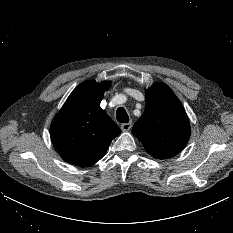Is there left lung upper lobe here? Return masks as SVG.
Listing matches in <instances>:
<instances>
[{
	"label": "left lung upper lobe",
	"mask_w": 233,
	"mask_h": 233,
	"mask_svg": "<svg viewBox=\"0 0 233 233\" xmlns=\"http://www.w3.org/2000/svg\"><path fill=\"white\" fill-rule=\"evenodd\" d=\"M132 133L158 159L171 158L184 148L190 137L189 119L166 84L156 83L146 91L145 111Z\"/></svg>",
	"instance_id": "obj_1"
}]
</instances>
